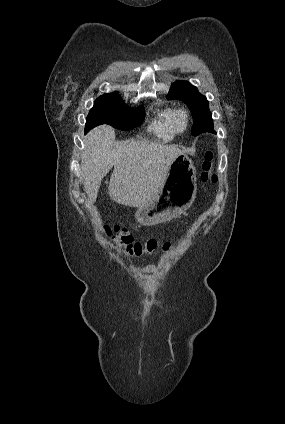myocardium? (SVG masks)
<instances>
[{
  "instance_id": "obj_1",
  "label": "myocardium",
  "mask_w": 285,
  "mask_h": 424,
  "mask_svg": "<svg viewBox=\"0 0 285 424\" xmlns=\"http://www.w3.org/2000/svg\"><path fill=\"white\" fill-rule=\"evenodd\" d=\"M182 117L184 119V126L181 127L179 125V118ZM190 122L189 112L185 108H177L174 110L172 115V125L176 132L182 133L187 130Z\"/></svg>"
}]
</instances>
